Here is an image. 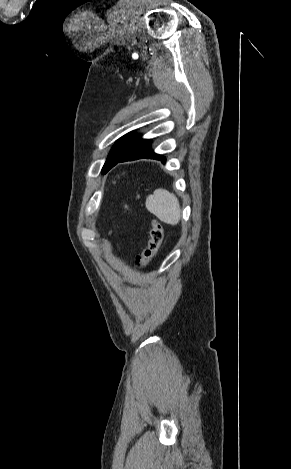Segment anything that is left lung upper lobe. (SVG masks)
<instances>
[{"instance_id":"left-lung-upper-lobe-1","label":"left lung upper lobe","mask_w":291,"mask_h":469,"mask_svg":"<svg viewBox=\"0 0 291 469\" xmlns=\"http://www.w3.org/2000/svg\"><path fill=\"white\" fill-rule=\"evenodd\" d=\"M141 140L140 135H135L133 131L121 137L110 151V154L102 168V173L105 174L109 171L115 165L118 158L123 156Z\"/></svg>"}]
</instances>
